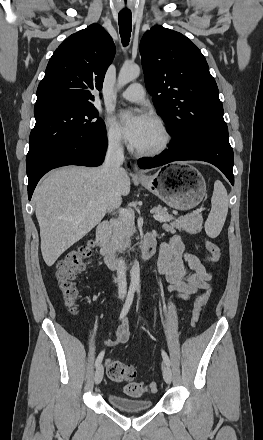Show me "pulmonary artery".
I'll return each instance as SVG.
<instances>
[{
	"mask_svg": "<svg viewBox=\"0 0 263 440\" xmlns=\"http://www.w3.org/2000/svg\"><path fill=\"white\" fill-rule=\"evenodd\" d=\"M120 97L130 102H139L144 99L145 90L140 83H133L120 94Z\"/></svg>",
	"mask_w": 263,
	"mask_h": 440,
	"instance_id": "obj_1",
	"label": "pulmonary artery"
}]
</instances>
